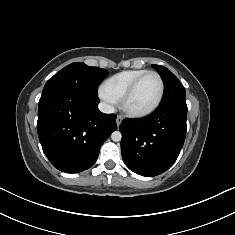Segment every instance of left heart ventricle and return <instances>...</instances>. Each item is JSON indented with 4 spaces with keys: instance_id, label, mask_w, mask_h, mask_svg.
<instances>
[{
    "instance_id": "1",
    "label": "left heart ventricle",
    "mask_w": 235,
    "mask_h": 235,
    "mask_svg": "<svg viewBox=\"0 0 235 235\" xmlns=\"http://www.w3.org/2000/svg\"><path fill=\"white\" fill-rule=\"evenodd\" d=\"M160 92L159 80L155 75L146 76L137 86L127 105L133 110H144L152 106Z\"/></svg>"
}]
</instances>
